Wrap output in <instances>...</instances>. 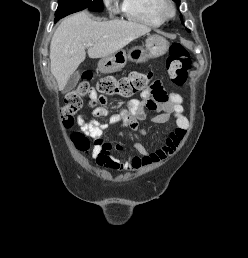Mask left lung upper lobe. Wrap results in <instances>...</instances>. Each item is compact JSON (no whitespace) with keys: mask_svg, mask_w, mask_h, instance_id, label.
<instances>
[{"mask_svg":"<svg viewBox=\"0 0 248 258\" xmlns=\"http://www.w3.org/2000/svg\"><path fill=\"white\" fill-rule=\"evenodd\" d=\"M173 1H175V2L178 3V4L180 3V0H173Z\"/></svg>","mask_w":248,"mask_h":258,"instance_id":"obj_1","label":"left lung upper lobe"}]
</instances>
